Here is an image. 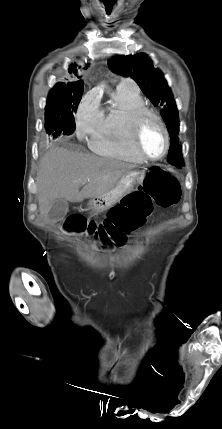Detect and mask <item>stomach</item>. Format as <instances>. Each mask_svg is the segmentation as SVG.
<instances>
[{"label":"stomach","mask_w":222,"mask_h":429,"mask_svg":"<svg viewBox=\"0 0 222 429\" xmlns=\"http://www.w3.org/2000/svg\"><path fill=\"white\" fill-rule=\"evenodd\" d=\"M144 180L145 170H132L127 172L111 190L101 196L91 198L88 203L89 209L96 214L108 210L134 191Z\"/></svg>","instance_id":"stomach-1"}]
</instances>
